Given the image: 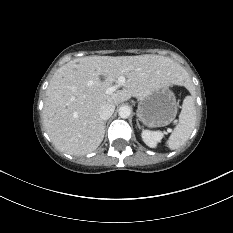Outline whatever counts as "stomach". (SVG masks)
Returning a JSON list of instances; mask_svg holds the SVG:
<instances>
[{"label":"stomach","mask_w":233,"mask_h":233,"mask_svg":"<svg viewBox=\"0 0 233 233\" xmlns=\"http://www.w3.org/2000/svg\"><path fill=\"white\" fill-rule=\"evenodd\" d=\"M177 114V102L169 87L158 88L140 99L138 116L147 127L170 124Z\"/></svg>","instance_id":"1"}]
</instances>
